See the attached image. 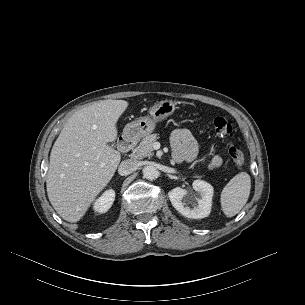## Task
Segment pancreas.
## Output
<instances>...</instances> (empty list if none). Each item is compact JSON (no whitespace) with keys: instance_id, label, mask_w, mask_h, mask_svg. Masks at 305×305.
I'll return each instance as SVG.
<instances>
[{"instance_id":"obj_1","label":"pancreas","mask_w":305,"mask_h":305,"mask_svg":"<svg viewBox=\"0 0 305 305\" xmlns=\"http://www.w3.org/2000/svg\"><path fill=\"white\" fill-rule=\"evenodd\" d=\"M159 138L157 134L145 136L137 147L133 149L132 156L135 159H142L153 155V143Z\"/></svg>"}]
</instances>
